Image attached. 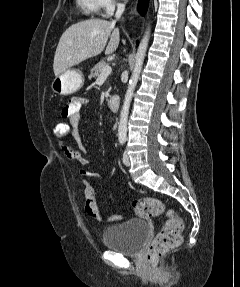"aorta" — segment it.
I'll list each match as a JSON object with an SVG mask.
<instances>
[{"mask_svg": "<svg viewBox=\"0 0 240 287\" xmlns=\"http://www.w3.org/2000/svg\"><path fill=\"white\" fill-rule=\"evenodd\" d=\"M150 38V28L148 27L137 50L135 66L133 69V73L131 79L129 81V85L125 94V99L123 102V106L120 112V120H119V127H118V138L119 140H126L127 137V123H128V114L130 103L134 94L135 87L137 85L144 58L146 55V50L148 47V41Z\"/></svg>", "mask_w": 240, "mask_h": 287, "instance_id": "obj_1", "label": "aorta"}]
</instances>
